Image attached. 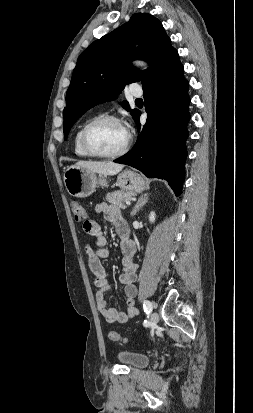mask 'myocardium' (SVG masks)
<instances>
[{
    "label": "myocardium",
    "instance_id": "f54148a6",
    "mask_svg": "<svg viewBox=\"0 0 253 413\" xmlns=\"http://www.w3.org/2000/svg\"><path fill=\"white\" fill-rule=\"evenodd\" d=\"M106 122H115L118 124H121V121L119 118H117L116 116L113 115H101V116H97L95 118H93L90 122H88L85 127L83 128L81 135H80V143L81 146L83 148V150L89 154L90 156L93 157H98V158H117L120 156H123L124 154H126L132 144V137L129 133H127V140L124 144V146L113 153H101L96 151L90 144V134L92 132V130L97 127L98 125L102 124V123H106Z\"/></svg>",
    "mask_w": 253,
    "mask_h": 413
}]
</instances>
